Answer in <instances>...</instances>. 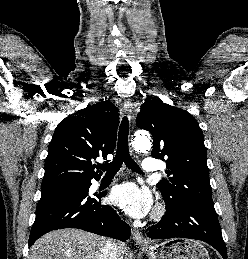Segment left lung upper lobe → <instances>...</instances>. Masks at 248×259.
<instances>
[{
  "instance_id": "5c2ea615",
  "label": "left lung upper lobe",
  "mask_w": 248,
  "mask_h": 259,
  "mask_svg": "<svg viewBox=\"0 0 248 259\" xmlns=\"http://www.w3.org/2000/svg\"><path fill=\"white\" fill-rule=\"evenodd\" d=\"M137 126L153 136L152 157L166 162L169 179L157 187L166 206L214 205L201 128L187 111L161 100H148L137 117Z\"/></svg>"
}]
</instances>
